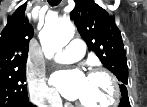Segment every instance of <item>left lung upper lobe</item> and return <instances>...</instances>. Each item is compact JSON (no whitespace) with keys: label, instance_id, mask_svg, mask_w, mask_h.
Wrapping results in <instances>:
<instances>
[{"label":"left lung upper lobe","instance_id":"5c2ea615","mask_svg":"<svg viewBox=\"0 0 147 107\" xmlns=\"http://www.w3.org/2000/svg\"><path fill=\"white\" fill-rule=\"evenodd\" d=\"M75 8L70 12L78 32L87 43L89 51L98 58L117 79L121 94H127L128 66L120 30L113 17L93 0H74Z\"/></svg>","mask_w":147,"mask_h":107}]
</instances>
